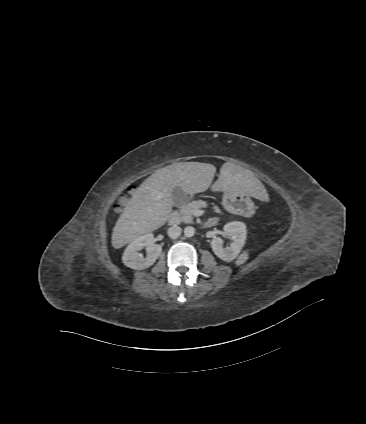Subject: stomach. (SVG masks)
Returning <instances> with one entry per match:
<instances>
[{"mask_svg": "<svg viewBox=\"0 0 366 424\" xmlns=\"http://www.w3.org/2000/svg\"><path fill=\"white\" fill-rule=\"evenodd\" d=\"M213 192H220V191H214ZM223 192V202L222 205L224 206V209L232 214H238L239 210L234 206V204L238 202H245L246 204L251 206V209L253 208V202L251 200L250 195L248 194H241L236 192H230V191H222Z\"/></svg>", "mask_w": 366, "mask_h": 424, "instance_id": "obj_1", "label": "stomach"}]
</instances>
